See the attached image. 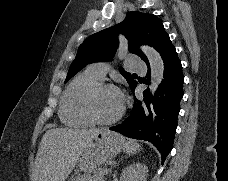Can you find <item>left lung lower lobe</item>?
I'll return each instance as SVG.
<instances>
[{"label":"left lung lower lobe","mask_w":228,"mask_h":181,"mask_svg":"<svg viewBox=\"0 0 228 181\" xmlns=\"http://www.w3.org/2000/svg\"><path fill=\"white\" fill-rule=\"evenodd\" d=\"M156 50L164 61V79L159 88L153 96L149 94V89L143 91V98L134 96V106L130 115L110 130L130 138L151 142L161 153L164 162L174 140L180 100L183 97L184 76L181 62L169 37L164 39ZM145 62L148 72L146 78L139 82L149 84L150 65L148 60ZM137 84L136 81L130 86L133 93Z\"/></svg>","instance_id":"0a47b994"}]
</instances>
